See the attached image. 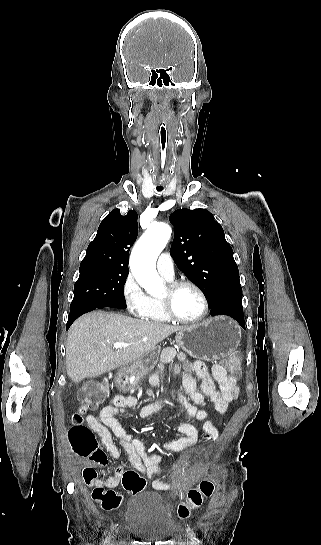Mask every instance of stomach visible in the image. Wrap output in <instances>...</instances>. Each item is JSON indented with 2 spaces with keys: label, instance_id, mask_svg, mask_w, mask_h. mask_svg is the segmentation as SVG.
<instances>
[{
  "label": "stomach",
  "instance_id": "stomach-1",
  "mask_svg": "<svg viewBox=\"0 0 321 545\" xmlns=\"http://www.w3.org/2000/svg\"><path fill=\"white\" fill-rule=\"evenodd\" d=\"M176 345L186 351L194 359H203V361H216L229 353L236 351L241 341V329L236 321L229 317H211L197 325L184 327L178 331L175 337ZM160 347H155L148 355L139 357L133 363L126 367H119L116 373V383L118 389H128L129 385H124V377L131 375H144L154 369L158 363Z\"/></svg>",
  "mask_w": 321,
  "mask_h": 545
}]
</instances>
